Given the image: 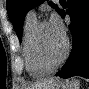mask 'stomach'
I'll list each match as a JSON object with an SVG mask.
<instances>
[{
	"instance_id": "stomach-1",
	"label": "stomach",
	"mask_w": 89,
	"mask_h": 89,
	"mask_svg": "<svg viewBox=\"0 0 89 89\" xmlns=\"http://www.w3.org/2000/svg\"><path fill=\"white\" fill-rule=\"evenodd\" d=\"M50 89H75L69 82L58 81Z\"/></svg>"
}]
</instances>
